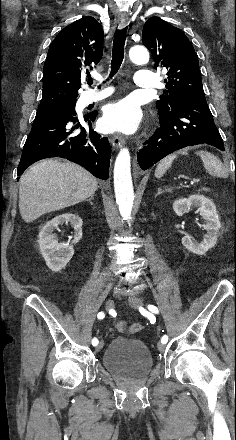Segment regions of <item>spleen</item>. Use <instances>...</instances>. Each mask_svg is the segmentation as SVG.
Segmentation results:
<instances>
[{
  "label": "spleen",
  "mask_w": 236,
  "mask_h": 440,
  "mask_svg": "<svg viewBox=\"0 0 236 440\" xmlns=\"http://www.w3.org/2000/svg\"><path fill=\"white\" fill-rule=\"evenodd\" d=\"M196 154L201 158L204 167L209 174L222 178H226L228 176L227 170L224 167L223 163L213 154L203 150L197 151ZM176 157V154H172L162 159L156 167L155 177L161 178L171 167Z\"/></svg>",
  "instance_id": "3e777b00"
}]
</instances>
